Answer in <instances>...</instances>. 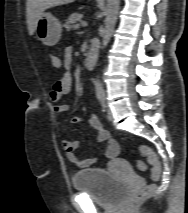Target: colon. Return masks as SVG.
I'll use <instances>...</instances> for the list:
<instances>
[{"mask_svg":"<svg viewBox=\"0 0 188 213\" xmlns=\"http://www.w3.org/2000/svg\"><path fill=\"white\" fill-rule=\"evenodd\" d=\"M51 64L55 68L60 67L59 61L52 55L50 57ZM139 152L145 156L148 162L152 165V178L157 179L161 172V165L157 155L146 145H141L139 147ZM137 168L141 171L146 169V164L143 161L137 162ZM152 192V187L143 185L137 188V190L132 194L130 202L132 204H138L145 200Z\"/></svg>","mask_w":188,"mask_h":213,"instance_id":"colon-1","label":"colon"}]
</instances>
